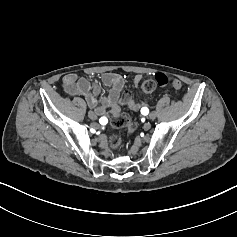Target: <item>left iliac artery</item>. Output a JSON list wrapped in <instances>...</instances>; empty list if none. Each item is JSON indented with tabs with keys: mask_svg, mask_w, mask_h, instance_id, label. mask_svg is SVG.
Wrapping results in <instances>:
<instances>
[{
	"mask_svg": "<svg viewBox=\"0 0 237 237\" xmlns=\"http://www.w3.org/2000/svg\"><path fill=\"white\" fill-rule=\"evenodd\" d=\"M141 113H142L143 115H147V114L149 113L148 108H147V107H143V108L141 109Z\"/></svg>",
	"mask_w": 237,
	"mask_h": 237,
	"instance_id": "left-iliac-artery-1",
	"label": "left iliac artery"
}]
</instances>
